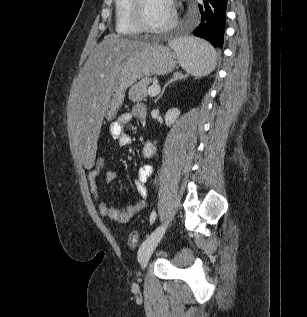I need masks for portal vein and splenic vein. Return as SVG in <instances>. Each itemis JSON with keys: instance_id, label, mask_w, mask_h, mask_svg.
Returning <instances> with one entry per match:
<instances>
[{"instance_id": "obj_1", "label": "portal vein and splenic vein", "mask_w": 307, "mask_h": 317, "mask_svg": "<svg viewBox=\"0 0 307 317\" xmlns=\"http://www.w3.org/2000/svg\"><path fill=\"white\" fill-rule=\"evenodd\" d=\"M159 92H160V86L155 83L148 88V94L151 97L156 96L157 94H159Z\"/></svg>"}]
</instances>
